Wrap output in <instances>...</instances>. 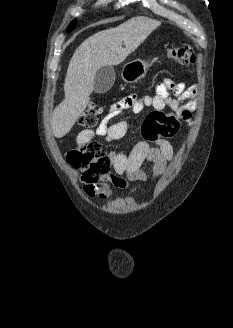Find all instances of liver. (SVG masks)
<instances>
[{
  "mask_svg": "<svg viewBox=\"0 0 233 328\" xmlns=\"http://www.w3.org/2000/svg\"><path fill=\"white\" fill-rule=\"evenodd\" d=\"M158 26L159 22L145 17L132 18L81 43L67 69L65 99L53 111L51 125L56 138L64 137L86 109L96 72L103 66L122 63ZM123 43L125 47H122Z\"/></svg>",
  "mask_w": 233,
  "mask_h": 328,
  "instance_id": "1",
  "label": "liver"
}]
</instances>
